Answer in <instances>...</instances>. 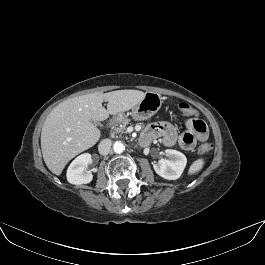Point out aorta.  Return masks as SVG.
<instances>
[{"label":"aorta","instance_id":"1","mask_svg":"<svg viewBox=\"0 0 265 265\" xmlns=\"http://www.w3.org/2000/svg\"><path fill=\"white\" fill-rule=\"evenodd\" d=\"M113 150H114L115 153H122L125 150V146L123 145L122 142L116 141L113 144Z\"/></svg>","mask_w":265,"mask_h":265}]
</instances>
